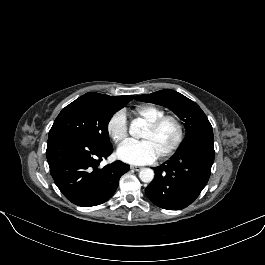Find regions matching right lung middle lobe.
Returning <instances> with one entry per match:
<instances>
[{
  "mask_svg": "<svg viewBox=\"0 0 265 265\" xmlns=\"http://www.w3.org/2000/svg\"><path fill=\"white\" fill-rule=\"evenodd\" d=\"M121 108H106L90 101L76 99L59 113L49 136L76 134L97 144L111 145L108 123L113 114Z\"/></svg>",
  "mask_w": 265,
  "mask_h": 265,
  "instance_id": "obj_1",
  "label": "right lung middle lobe"
}]
</instances>
